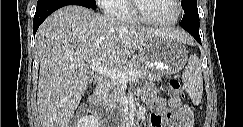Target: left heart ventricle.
Here are the masks:
<instances>
[{
  "label": "left heart ventricle",
  "instance_id": "b2bd125f",
  "mask_svg": "<svg viewBox=\"0 0 243 127\" xmlns=\"http://www.w3.org/2000/svg\"><path fill=\"white\" fill-rule=\"evenodd\" d=\"M141 9L146 16L158 21H169L177 14L173 0H142Z\"/></svg>",
  "mask_w": 243,
  "mask_h": 127
}]
</instances>
